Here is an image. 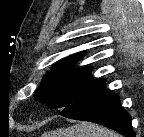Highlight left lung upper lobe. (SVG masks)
Here are the masks:
<instances>
[{
  "instance_id": "obj_1",
  "label": "left lung upper lobe",
  "mask_w": 144,
  "mask_h": 137,
  "mask_svg": "<svg viewBox=\"0 0 144 137\" xmlns=\"http://www.w3.org/2000/svg\"><path fill=\"white\" fill-rule=\"evenodd\" d=\"M82 54L60 61L53 71H49L43 78L34 97L37 101L45 103L48 107L65 108L77 100L86 90H91L102 83L103 79H93L91 68H77L68 71Z\"/></svg>"
}]
</instances>
